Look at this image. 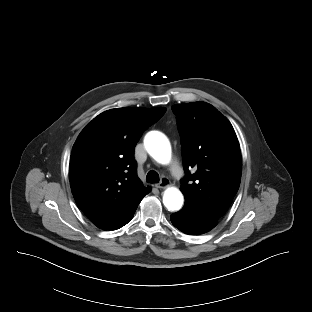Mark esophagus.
I'll use <instances>...</instances> for the list:
<instances>
[{"instance_id": "1", "label": "esophagus", "mask_w": 312, "mask_h": 312, "mask_svg": "<svg viewBox=\"0 0 312 312\" xmlns=\"http://www.w3.org/2000/svg\"><path fill=\"white\" fill-rule=\"evenodd\" d=\"M170 185V181L168 178L166 177H163L160 181V183L156 184L155 186L159 189H163V188H166Z\"/></svg>"}]
</instances>
